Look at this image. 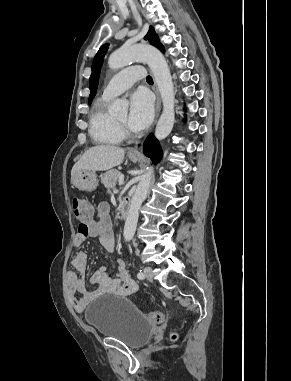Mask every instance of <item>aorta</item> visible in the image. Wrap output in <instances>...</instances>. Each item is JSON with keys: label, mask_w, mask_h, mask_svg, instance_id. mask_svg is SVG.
I'll list each match as a JSON object with an SVG mask.
<instances>
[{"label": "aorta", "mask_w": 291, "mask_h": 381, "mask_svg": "<svg viewBox=\"0 0 291 381\" xmlns=\"http://www.w3.org/2000/svg\"><path fill=\"white\" fill-rule=\"evenodd\" d=\"M135 61H144L150 67L154 80L158 86L163 111L158 120L155 136L158 140L165 139L172 131L175 121V94L174 84L168 63L162 53L151 45L136 44L133 46H123L111 53L108 59V65L111 69H120ZM128 105L125 101L117 99L110 107V113L120 114L127 112ZM153 168L142 176L137 189L131 199L129 213L124 226V238L129 241L133 238L139 217L140 207L145 200Z\"/></svg>", "instance_id": "obj_1"}]
</instances>
